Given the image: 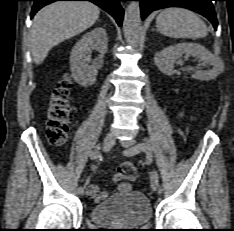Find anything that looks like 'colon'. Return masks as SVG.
I'll return each instance as SVG.
<instances>
[{"label": "colon", "mask_w": 234, "mask_h": 231, "mask_svg": "<svg viewBox=\"0 0 234 231\" xmlns=\"http://www.w3.org/2000/svg\"><path fill=\"white\" fill-rule=\"evenodd\" d=\"M72 86L69 77H64L53 88L48 100L47 135L52 144L66 141L72 111L69 104V90ZM115 181L136 179V169L130 162H123L113 176Z\"/></svg>", "instance_id": "5ec220e1"}]
</instances>
